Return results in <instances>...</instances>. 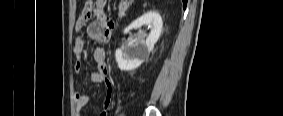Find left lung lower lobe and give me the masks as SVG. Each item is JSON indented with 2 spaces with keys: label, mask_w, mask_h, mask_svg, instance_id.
Masks as SVG:
<instances>
[{
  "label": "left lung lower lobe",
  "mask_w": 283,
  "mask_h": 116,
  "mask_svg": "<svg viewBox=\"0 0 283 116\" xmlns=\"http://www.w3.org/2000/svg\"><path fill=\"white\" fill-rule=\"evenodd\" d=\"M184 7H186L187 0H183Z\"/></svg>",
  "instance_id": "0a47b994"
}]
</instances>
